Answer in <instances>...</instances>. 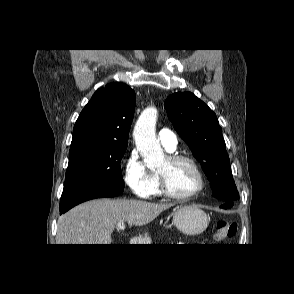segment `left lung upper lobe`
Here are the masks:
<instances>
[{
  "label": "left lung upper lobe",
  "instance_id": "1",
  "mask_svg": "<svg viewBox=\"0 0 294 294\" xmlns=\"http://www.w3.org/2000/svg\"><path fill=\"white\" fill-rule=\"evenodd\" d=\"M168 118L211 182L213 196L237 200L225 141L215 113L191 92L170 95L165 101Z\"/></svg>",
  "mask_w": 294,
  "mask_h": 294
}]
</instances>
